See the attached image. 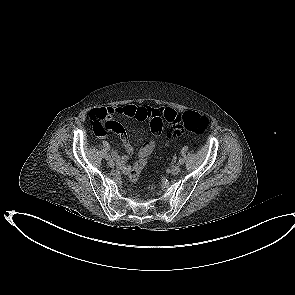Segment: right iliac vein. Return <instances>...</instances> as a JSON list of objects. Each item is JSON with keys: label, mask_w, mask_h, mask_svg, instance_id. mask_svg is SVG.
<instances>
[{"label": "right iliac vein", "mask_w": 295, "mask_h": 295, "mask_svg": "<svg viewBox=\"0 0 295 295\" xmlns=\"http://www.w3.org/2000/svg\"><path fill=\"white\" fill-rule=\"evenodd\" d=\"M108 165H109L110 167H114L115 163H114L112 160H109V161H108Z\"/></svg>", "instance_id": "obj_1"}]
</instances>
